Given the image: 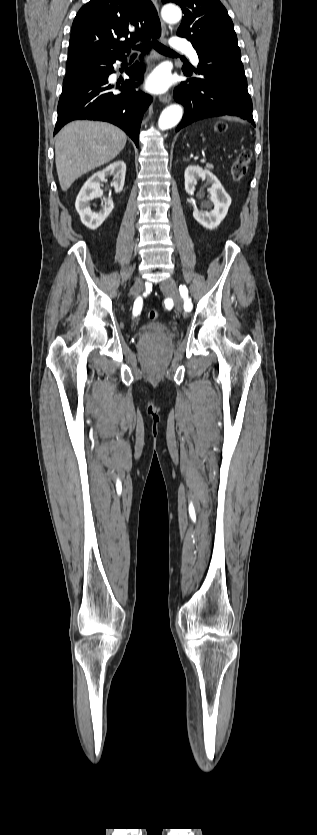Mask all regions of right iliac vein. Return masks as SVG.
<instances>
[{"label":"right iliac vein","mask_w":317,"mask_h":835,"mask_svg":"<svg viewBox=\"0 0 317 835\" xmlns=\"http://www.w3.org/2000/svg\"><path fill=\"white\" fill-rule=\"evenodd\" d=\"M142 287H143V284H142L141 279L136 278L135 281H134V285L131 288V295H133V296L137 295L141 291Z\"/></svg>","instance_id":"63e3f726"}]
</instances>
